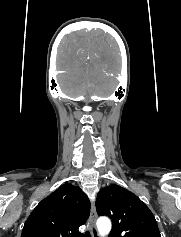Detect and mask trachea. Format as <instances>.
Here are the masks:
<instances>
[{"mask_svg":"<svg viewBox=\"0 0 181 237\" xmlns=\"http://www.w3.org/2000/svg\"><path fill=\"white\" fill-rule=\"evenodd\" d=\"M84 237H91L90 234L87 232Z\"/></svg>","mask_w":181,"mask_h":237,"instance_id":"obj_1","label":"trachea"}]
</instances>
